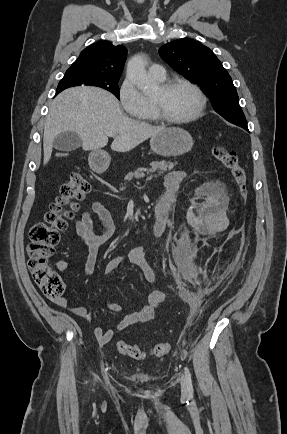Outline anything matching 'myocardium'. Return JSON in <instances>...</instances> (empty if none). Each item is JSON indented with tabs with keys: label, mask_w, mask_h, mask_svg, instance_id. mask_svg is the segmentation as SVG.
Wrapping results in <instances>:
<instances>
[{
	"label": "myocardium",
	"mask_w": 287,
	"mask_h": 434,
	"mask_svg": "<svg viewBox=\"0 0 287 434\" xmlns=\"http://www.w3.org/2000/svg\"><path fill=\"white\" fill-rule=\"evenodd\" d=\"M177 86L188 87L189 89H191L195 93V95L197 96V99H198V105H197L195 111L191 115L184 117V118H179V119L171 118L164 112L161 105L152 99V105H153V108H154V111H155L157 118L163 122H166V123L172 124V125H182V124H187V123H190V122L197 120L199 117H201V115L203 114V112L206 108V96H205V94L196 84H194L193 82H191L189 80L181 79V78L169 79V80L161 83L160 88L167 91V90H170V89L177 87Z\"/></svg>",
	"instance_id": "myocardium-1"
}]
</instances>
